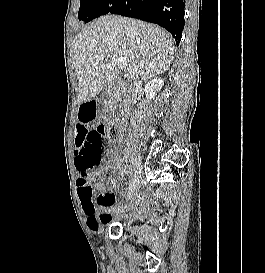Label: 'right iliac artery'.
Returning a JSON list of instances; mask_svg holds the SVG:
<instances>
[{
  "label": "right iliac artery",
  "mask_w": 265,
  "mask_h": 273,
  "mask_svg": "<svg viewBox=\"0 0 265 273\" xmlns=\"http://www.w3.org/2000/svg\"><path fill=\"white\" fill-rule=\"evenodd\" d=\"M130 161L134 165L135 168H138L139 163L136 158L131 157Z\"/></svg>",
  "instance_id": "1"
}]
</instances>
